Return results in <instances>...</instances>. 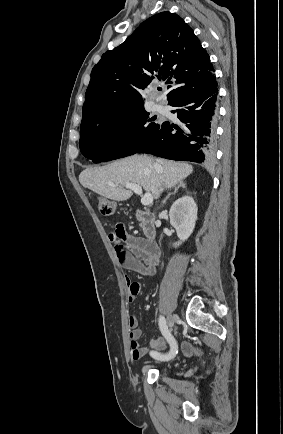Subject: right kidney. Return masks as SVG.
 <instances>
[{
	"label": "right kidney",
	"instance_id": "ca27d5eb",
	"mask_svg": "<svg viewBox=\"0 0 283 434\" xmlns=\"http://www.w3.org/2000/svg\"><path fill=\"white\" fill-rule=\"evenodd\" d=\"M197 205L190 196H184L176 200L170 208V223L175 228L179 241L174 247L179 246L192 234L197 220Z\"/></svg>",
	"mask_w": 283,
	"mask_h": 434
}]
</instances>
